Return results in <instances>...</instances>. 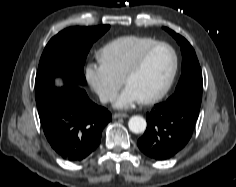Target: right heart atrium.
Here are the masks:
<instances>
[{"mask_svg": "<svg viewBox=\"0 0 236 187\" xmlns=\"http://www.w3.org/2000/svg\"><path fill=\"white\" fill-rule=\"evenodd\" d=\"M85 78L103 103L112 102L122 85V79L100 63H89L85 68Z\"/></svg>", "mask_w": 236, "mask_h": 187, "instance_id": "1", "label": "right heart atrium"}]
</instances>
